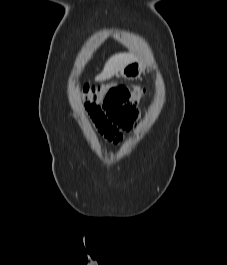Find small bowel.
I'll return each mask as SVG.
<instances>
[{
    "mask_svg": "<svg viewBox=\"0 0 227 265\" xmlns=\"http://www.w3.org/2000/svg\"><path fill=\"white\" fill-rule=\"evenodd\" d=\"M83 107H86V111L98 132L108 141L119 144L123 140L122 130L113 125V120H109L105 109H101L100 102H83Z\"/></svg>",
    "mask_w": 227,
    "mask_h": 265,
    "instance_id": "small-bowel-1",
    "label": "small bowel"
}]
</instances>
